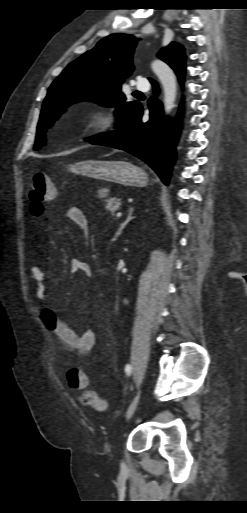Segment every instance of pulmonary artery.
Segmentation results:
<instances>
[{
  "instance_id": "e3ab8cb5",
  "label": "pulmonary artery",
  "mask_w": 247,
  "mask_h": 513,
  "mask_svg": "<svg viewBox=\"0 0 247 513\" xmlns=\"http://www.w3.org/2000/svg\"><path fill=\"white\" fill-rule=\"evenodd\" d=\"M136 88L140 91H148L150 88L149 82L145 79H141L136 83Z\"/></svg>"
}]
</instances>
